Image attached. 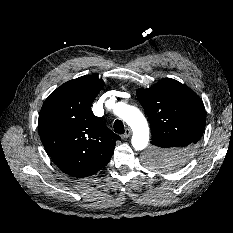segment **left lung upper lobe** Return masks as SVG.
I'll return each instance as SVG.
<instances>
[{
  "label": "left lung upper lobe",
  "instance_id": "obj_1",
  "mask_svg": "<svg viewBox=\"0 0 233 233\" xmlns=\"http://www.w3.org/2000/svg\"><path fill=\"white\" fill-rule=\"evenodd\" d=\"M137 97L148 116L152 134L153 146L144 156L146 164L160 171L180 169L192 158L205 129L202 100L190 88L170 78L151 88L138 89ZM172 137L183 139L186 146L169 151L157 144V139ZM182 156L184 162L173 163L172 160Z\"/></svg>",
  "mask_w": 233,
  "mask_h": 233
}]
</instances>
